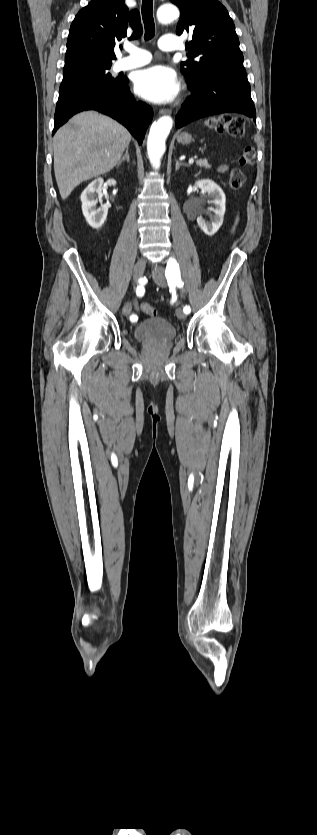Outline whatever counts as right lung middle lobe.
<instances>
[{
    "instance_id": "obj_1",
    "label": "right lung middle lobe",
    "mask_w": 317,
    "mask_h": 835,
    "mask_svg": "<svg viewBox=\"0 0 317 835\" xmlns=\"http://www.w3.org/2000/svg\"><path fill=\"white\" fill-rule=\"evenodd\" d=\"M111 65V61L92 57L66 60L63 71V80L59 91L64 92L79 86L97 82L122 81V77L113 78L108 72Z\"/></svg>"
}]
</instances>
